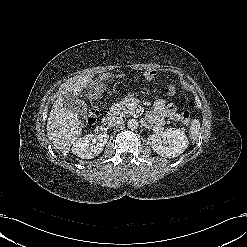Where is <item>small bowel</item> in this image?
Listing matches in <instances>:
<instances>
[{"label":"small bowel","mask_w":247,"mask_h":247,"mask_svg":"<svg viewBox=\"0 0 247 247\" xmlns=\"http://www.w3.org/2000/svg\"><path fill=\"white\" fill-rule=\"evenodd\" d=\"M155 71H148L145 74L147 80H152ZM177 119L176 106L165 100H158L149 113V119L156 125H162L166 119Z\"/></svg>","instance_id":"c3829d8e"}]
</instances>
